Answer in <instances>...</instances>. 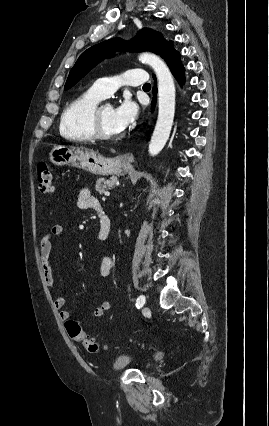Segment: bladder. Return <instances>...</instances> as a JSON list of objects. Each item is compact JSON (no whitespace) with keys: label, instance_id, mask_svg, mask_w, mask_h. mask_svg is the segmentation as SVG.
Instances as JSON below:
<instances>
[{"label":"bladder","instance_id":"31cf9c89","mask_svg":"<svg viewBox=\"0 0 269 426\" xmlns=\"http://www.w3.org/2000/svg\"><path fill=\"white\" fill-rule=\"evenodd\" d=\"M133 357L130 354L120 353L113 359L112 368L115 371H121L133 364Z\"/></svg>","mask_w":269,"mask_h":426}]
</instances>
